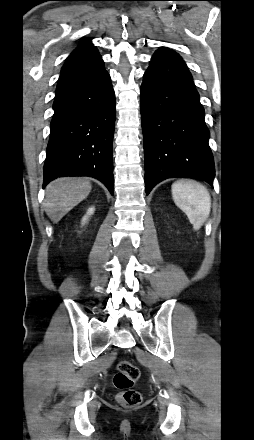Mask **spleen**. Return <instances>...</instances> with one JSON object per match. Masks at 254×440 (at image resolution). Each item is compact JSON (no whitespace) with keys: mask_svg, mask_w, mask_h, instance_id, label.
Returning a JSON list of instances; mask_svg holds the SVG:
<instances>
[{"mask_svg":"<svg viewBox=\"0 0 254 440\" xmlns=\"http://www.w3.org/2000/svg\"><path fill=\"white\" fill-rule=\"evenodd\" d=\"M171 189L175 204L187 215L193 228L200 229L211 210L207 188L194 180L181 179L173 183Z\"/></svg>","mask_w":254,"mask_h":440,"instance_id":"obj_1","label":"spleen"}]
</instances>
